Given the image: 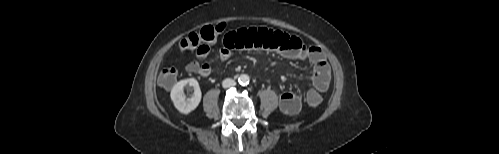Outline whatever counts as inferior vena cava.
Segmentation results:
<instances>
[{
    "instance_id": "inferior-vena-cava-1",
    "label": "inferior vena cava",
    "mask_w": 499,
    "mask_h": 154,
    "mask_svg": "<svg viewBox=\"0 0 499 154\" xmlns=\"http://www.w3.org/2000/svg\"><path fill=\"white\" fill-rule=\"evenodd\" d=\"M236 85V82L235 80L231 79V78H226L223 80L222 82V86L223 88H229V87H233Z\"/></svg>"
}]
</instances>
